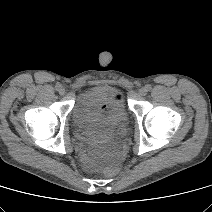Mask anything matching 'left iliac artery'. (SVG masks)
Returning <instances> with one entry per match:
<instances>
[{"label": "left iliac artery", "instance_id": "obj_1", "mask_svg": "<svg viewBox=\"0 0 212 212\" xmlns=\"http://www.w3.org/2000/svg\"><path fill=\"white\" fill-rule=\"evenodd\" d=\"M145 88L147 89V91H150L152 89L151 85H146Z\"/></svg>", "mask_w": 212, "mask_h": 212}]
</instances>
